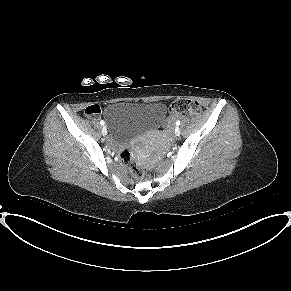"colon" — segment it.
Returning a JSON list of instances; mask_svg holds the SVG:
<instances>
[{
	"mask_svg": "<svg viewBox=\"0 0 291 291\" xmlns=\"http://www.w3.org/2000/svg\"><path fill=\"white\" fill-rule=\"evenodd\" d=\"M171 113L176 115L195 116L200 113V106L198 102L190 99H177L169 107ZM100 113V108L97 105L88 106L85 109V114L89 117H97ZM123 163L128 167L132 177L139 179L142 176V171L136 166L135 160L131 152L127 149L120 154Z\"/></svg>",
	"mask_w": 291,
	"mask_h": 291,
	"instance_id": "colon-1",
	"label": "colon"
}]
</instances>
